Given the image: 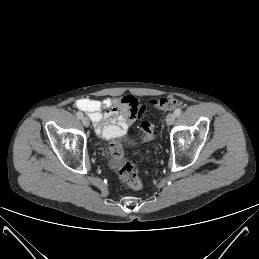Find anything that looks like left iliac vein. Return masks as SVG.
<instances>
[{
  "mask_svg": "<svg viewBox=\"0 0 259 259\" xmlns=\"http://www.w3.org/2000/svg\"><path fill=\"white\" fill-rule=\"evenodd\" d=\"M175 118H176V116H175L174 113L168 114L167 117H166L167 125H172L174 123V121H175Z\"/></svg>",
  "mask_w": 259,
  "mask_h": 259,
  "instance_id": "4c4485c4",
  "label": "left iliac vein"
}]
</instances>
